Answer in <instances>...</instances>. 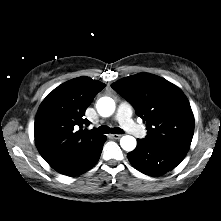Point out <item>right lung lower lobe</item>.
<instances>
[{"label": "right lung lower lobe", "instance_id": "1", "mask_svg": "<svg viewBox=\"0 0 221 221\" xmlns=\"http://www.w3.org/2000/svg\"><path fill=\"white\" fill-rule=\"evenodd\" d=\"M105 141H106V136L103 139V141H102L100 147L98 148V150L91 156V158L86 160L84 163H82L80 166H78L74 171H72L71 173H69L67 175L68 176H77V175L85 173L90 168H92L97 163V161L99 160V157H100L101 152H102V147H103V144H104Z\"/></svg>", "mask_w": 221, "mask_h": 221}]
</instances>
